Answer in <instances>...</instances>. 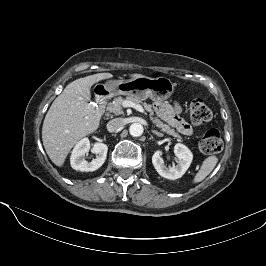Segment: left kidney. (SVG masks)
<instances>
[{"label":"left kidney","mask_w":266,"mask_h":266,"mask_svg":"<svg viewBox=\"0 0 266 266\" xmlns=\"http://www.w3.org/2000/svg\"><path fill=\"white\" fill-rule=\"evenodd\" d=\"M174 154L177 157V165L166 167L162 158V151L157 150L152 156V163L158 174L166 179L175 180L184 175L189 168L193 155L191 151L183 144H176Z\"/></svg>","instance_id":"5707ae66"}]
</instances>
